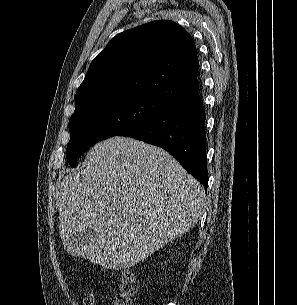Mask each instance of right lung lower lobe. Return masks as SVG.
Wrapping results in <instances>:
<instances>
[{"mask_svg": "<svg viewBox=\"0 0 297 305\" xmlns=\"http://www.w3.org/2000/svg\"><path fill=\"white\" fill-rule=\"evenodd\" d=\"M205 118L197 89L170 101L146 121L118 136L132 137L167 150L207 190Z\"/></svg>", "mask_w": 297, "mask_h": 305, "instance_id": "1", "label": "right lung lower lobe"}]
</instances>
